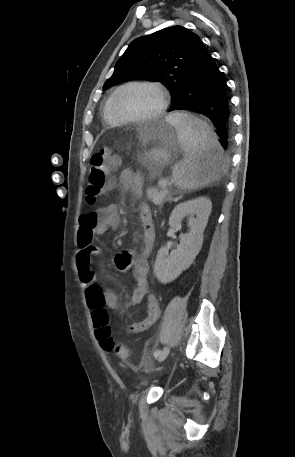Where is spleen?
I'll use <instances>...</instances> for the list:
<instances>
[{
  "label": "spleen",
  "mask_w": 295,
  "mask_h": 457,
  "mask_svg": "<svg viewBox=\"0 0 295 457\" xmlns=\"http://www.w3.org/2000/svg\"><path fill=\"white\" fill-rule=\"evenodd\" d=\"M166 120L176 127L180 146L185 152L172 172L177 186L195 190L226 171L217 136L206 122L179 112L170 114Z\"/></svg>",
  "instance_id": "3e777b00"
}]
</instances>
